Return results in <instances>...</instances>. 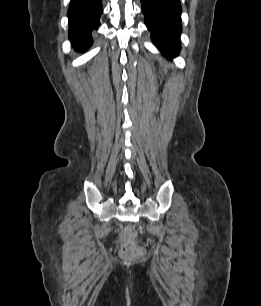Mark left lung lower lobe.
<instances>
[{
	"label": "left lung lower lobe",
	"mask_w": 261,
	"mask_h": 306,
	"mask_svg": "<svg viewBox=\"0 0 261 306\" xmlns=\"http://www.w3.org/2000/svg\"><path fill=\"white\" fill-rule=\"evenodd\" d=\"M141 3L154 44L167 58L177 56L182 29L180 0H141Z\"/></svg>",
	"instance_id": "obj_1"
}]
</instances>
